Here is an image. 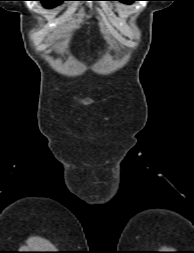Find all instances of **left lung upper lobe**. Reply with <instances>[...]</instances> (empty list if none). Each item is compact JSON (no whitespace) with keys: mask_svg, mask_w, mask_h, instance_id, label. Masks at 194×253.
<instances>
[{"mask_svg":"<svg viewBox=\"0 0 194 253\" xmlns=\"http://www.w3.org/2000/svg\"><path fill=\"white\" fill-rule=\"evenodd\" d=\"M120 1L130 4V3H133L134 1H138V0H120Z\"/></svg>","mask_w":194,"mask_h":253,"instance_id":"left-lung-upper-lobe-1","label":"left lung upper lobe"}]
</instances>
